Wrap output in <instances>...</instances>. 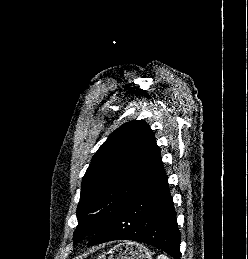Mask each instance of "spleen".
<instances>
[{
  "label": "spleen",
  "mask_w": 248,
  "mask_h": 259,
  "mask_svg": "<svg viewBox=\"0 0 248 259\" xmlns=\"http://www.w3.org/2000/svg\"><path fill=\"white\" fill-rule=\"evenodd\" d=\"M157 259H169L165 254H161L157 257Z\"/></svg>",
  "instance_id": "3e777b00"
}]
</instances>
